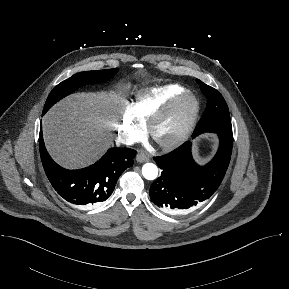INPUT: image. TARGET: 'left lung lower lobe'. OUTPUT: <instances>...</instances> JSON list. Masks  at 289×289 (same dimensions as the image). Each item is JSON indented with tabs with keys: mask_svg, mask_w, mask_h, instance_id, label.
<instances>
[{
	"mask_svg": "<svg viewBox=\"0 0 289 289\" xmlns=\"http://www.w3.org/2000/svg\"><path fill=\"white\" fill-rule=\"evenodd\" d=\"M217 134L218 151L205 166L193 160L190 141L154 158L162 169L161 176L150 187V198L155 205L167 213L185 214L214 194L228 168L233 146L232 133Z\"/></svg>",
	"mask_w": 289,
	"mask_h": 289,
	"instance_id": "obj_1",
	"label": "left lung lower lobe"
}]
</instances>
